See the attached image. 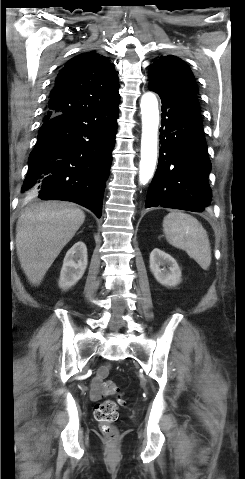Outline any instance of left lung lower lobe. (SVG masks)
Wrapping results in <instances>:
<instances>
[{
    "label": "left lung lower lobe",
    "mask_w": 245,
    "mask_h": 479,
    "mask_svg": "<svg viewBox=\"0 0 245 479\" xmlns=\"http://www.w3.org/2000/svg\"><path fill=\"white\" fill-rule=\"evenodd\" d=\"M160 154L145 207L201 212L210 205L208 175L211 162L205 141L197 91L162 93Z\"/></svg>",
    "instance_id": "obj_1"
}]
</instances>
